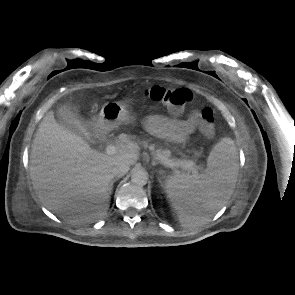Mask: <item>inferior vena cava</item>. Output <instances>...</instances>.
Masks as SVG:
<instances>
[{
    "mask_svg": "<svg viewBox=\"0 0 295 295\" xmlns=\"http://www.w3.org/2000/svg\"><path fill=\"white\" fill-rule=\"evenodd\" d=\"M130 169V165L124 161L116 162L112 168V173L114 176L122 177L124 176Z\"/></svg>",
    "mask_w": 295,
    "mask_h": 295,
    "instance_id": "602c4592",
    "label": "inferior vena cava"
}]
</instances>
